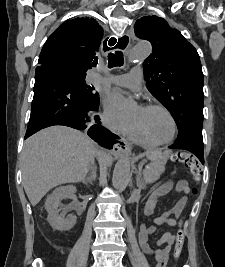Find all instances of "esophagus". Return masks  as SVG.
I'll use <instances>...</instances> for the list:
<instances>
[{"label":"esophagus","mask_w":225,"mask_h":267,"mask_svg":"<svg viewBox=\"0 0 225 267\" xmlns=\"http://www.w3.org/2000/svg\"><path fill=\"white\" fill-rule=\"evenodd\" d=\"M114 37H110L109 40ZM112 41V40H111ZM110 41V43H111ZM109 44V42H108ZM131 45V39L128 34H124L120 38L116 39L115 46L118 50L126 52ZM130 151V146L125 139H121L119 145L113 150V154L116 156H120L122 154L128 153Z\"/></svg>","instance_id":"esophagus-1"}]
</instances>
